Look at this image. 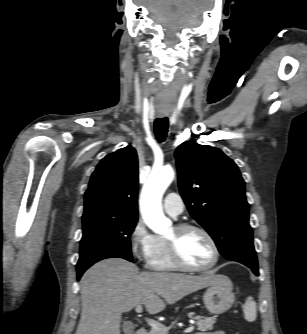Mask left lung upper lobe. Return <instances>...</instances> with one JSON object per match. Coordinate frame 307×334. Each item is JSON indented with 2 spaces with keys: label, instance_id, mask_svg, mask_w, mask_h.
Here are the masks:
<instances>
[{
  "label": "left lung upper lobe",
  "instance_id": "obj_1",
  "mask_svg": "<svg viewBox=\"0 0 307 334\" xmlns=\"http://www.w3.org/2000/svg\"><path fill=\"white\" fill-rule=\"evenodd\" d=\"M178 183L190 215L227 259L257 262L245 182L220 149L186 141L175 151Z\"/></svg>",
  "mask_w": 307,
  "mask_h": 334
}]
</instances>
